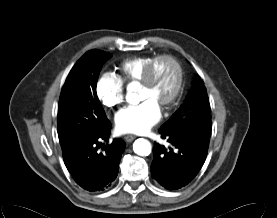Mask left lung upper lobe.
Segmentation results:
<instances>
[{
  "label": "left lung upper lobe",
  "mask_w": 277,
  "mask_h": 218,
  "mask_svg": "<svg viewBox=\"0 0 277 218\" xmlns=\"http://www.w3.org/2000/svg\"><path fill=\"white\" fill-rule=\"evenodd\" d=\"M211 128V109L204 82L197 76L184 104L161 126Z\"/></svg>",
  "instance_id": "1"
}]
</instances>
